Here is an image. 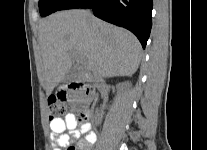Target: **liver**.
I'll return each mask as SVG.
<instances>
[{"mask_svg": "<svg viewBox=\"0 0 207 150\" xmlns=\"http://www.w3.org/2000/svg\"><path fill=\"white\" fill-rule=\"evenodd\" d=\"M39 43L47 95L71 71L75 59H82L88 80L132 76L141 61V45L132 33L85 10L61 11L42 20Z\"/></svg>", "mask_w": 207, "mask_h": 150, "instance_id": "6515ba94", "label": "liver"}]
</instances>
